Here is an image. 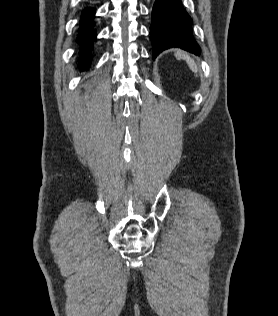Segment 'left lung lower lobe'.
Wrapping results in <instances>:
<instances>
[{"mask_svg": "<svg viewBox=\"0 0 278 316\" xmlns=\"http://www.w3.org/2000/svg\"><path fill=\"white\" fill-rule=\"evenodd\" d=\"M153 58L175 47L199 55L200 47L192 35V19L181 0H155L150 29Z\"/></svg>", "mask_w": 278, "mask_h": 316, "instance_id": "left-lung-lower-lobe-1", "label": "left lung lower lobe"}]
</instances>
